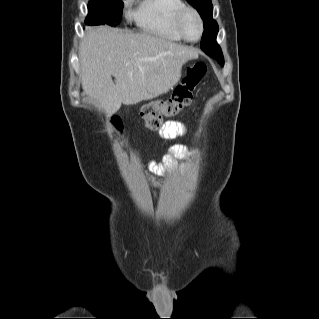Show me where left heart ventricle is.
<instances>
[{"label":"left heart ventricle","mask_w":319,"mask_h":319,"mask_svg":"<svg viewBox=\"0 0 319 319\" xmlns=\"http://www.w3.org/2000/svg\"><path fill=\"white\" fill-rule=\"evenodd\" d=\"M183 29L189 38L195 39L198 37L200 32V27L194 15L192 14L186 15V17L183 20Z\"/></svg>","instance_id":"1"}]
</instances>
